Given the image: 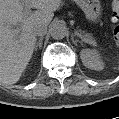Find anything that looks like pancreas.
<instances>
[{
	"mask_svg": "<svg viewBox=\"0 0 119 119\" xmlns=\"http://www.w3.org/2000/svg\"><path fill=\"white\" fill-rule=\"evenodd\" d=\"M84 33V32H83ZM83 37L90 42L92 45H96L95 39L92 37L91 34L85 33Z\"/></svg>",
	"mask_w": 119,
	"mask_h": 119,
	"instance_id": "1",
	"label": "pancreas"
}]
</instances>
